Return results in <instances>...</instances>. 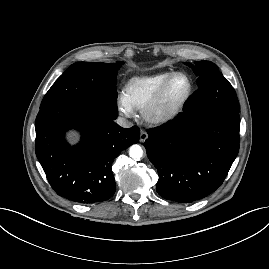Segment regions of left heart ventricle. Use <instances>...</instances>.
<instances>
[{
    "instance_id": "obj_1",
    "label": "left heart ventricle",
    "mask_w": 269,
    "mask_h": 269,
    "mask_svg": "<svg viewBox=\"0 0 269 269\" xmlns=\"http://www.w3.org/2000/svg\"><path fill=\"white\" fill-rule=\"evenodd\" d=\"M188 89V81L186 78L179 76L175 78L169 85L162 101V108L170 107L179 102Z\"/></svg>"
}]
</instances>
